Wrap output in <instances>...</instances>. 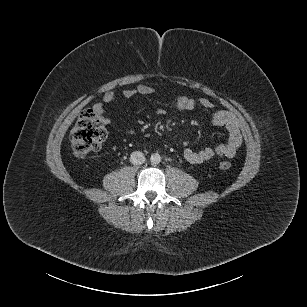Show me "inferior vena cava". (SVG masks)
<instances>
[{
  "label": "inferior vena cava",
  "mask_w": 307,
  "mask_h": 307,
  "mask_svg": "<svg viewBox=\"0 0 307 307\" xmlns=\"http://www.w3.org/2000/svg\"><path fill=\"white\" fill-rule=\"evenodd\" d=\"M130 161L135 165H139L145 162V156L141 151H134L131 153Z\"/></svg>",
  "instance_id": "obj_1"
}]
</instances>
